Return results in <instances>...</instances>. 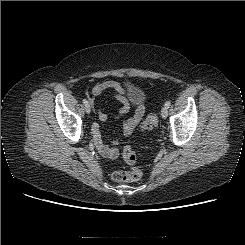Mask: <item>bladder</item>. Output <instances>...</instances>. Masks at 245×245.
Returning <instances> with one entry per match:
<instances>
[{
  "instance_id": "bladder-1",
  "label": "bladder",
  "mask_w": 245,
  "mask_h": 245,
  "mask_svg": "<svg viewBox=\"0 0 245 245\" xmlns=\"http://www.w3.org/2000/svg\"><path fill=\"white\" fill-rule=\"evenodd\" d=\"M142 96H143V91H142V89L139 88V87H135V88L131 91V93H130V97H131L132 99L137 100V101H140L141 98H142Z\"/></svg>"
}]
</instances>
